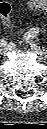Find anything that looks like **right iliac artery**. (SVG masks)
Segmentation results:
<instances>
[{
  "label": "right iliac artery",
  "mask_w": 47,
  "mask_h": 129,
  "mask_svg": "<svg viewBox=\"0 0 47 129\" xmlns=\"http://www.w3.org/2000/svg\"><path fill=\"white\" fill-rule=\"evenodd\" d=\"M0 44H1V45H5V44H7V42H6L5 39H1V40H0Z\"/></svg>",
  "instance_id": "obj_1"
}]
</instances>
